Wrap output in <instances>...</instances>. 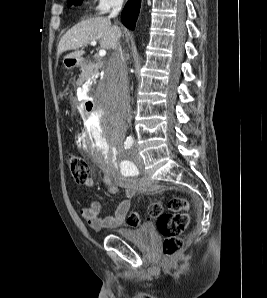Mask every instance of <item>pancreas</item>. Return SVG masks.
<instances>
[{"mask_svg": "<svg viewBox=\"0 0 267 298\" xmlns=\"http://www.w3.org/2000/svg\"><path fill=\"white\" fill-rule=\"evenodd\" d=\"M103 63L97 59L96 63L89 62L87 66L82 69V74L80 76L81 80H87L91 78V76L98 72V70L102 67Z\"/></svg>", "mask_w": 267, "mask_h": 298, "instance_id": "cf45deb5", "label": "pancreas"}]
</instances>
